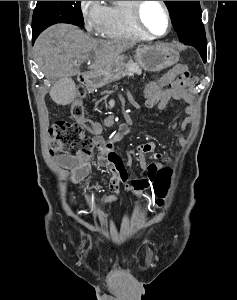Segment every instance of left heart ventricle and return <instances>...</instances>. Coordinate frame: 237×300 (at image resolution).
I'll use <instances>...</instances> for the list:
<instances>
[{"mask_svg":"<svg viewBox=\"0 0 237 300\" xmlns=\"http://www.w3.org/2000/svg\"><path fill=\"white\" fill-rule=\"evenodd\" d=\"M143 21L155 34L162 35L167 28L164 10L158 1H147L143 8Z\"/></svg>","mask_w":237,"mask_h":300,"instance_id":"1","label":"left heart ventricle"}]
</instances>
